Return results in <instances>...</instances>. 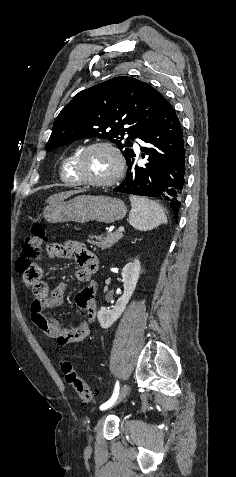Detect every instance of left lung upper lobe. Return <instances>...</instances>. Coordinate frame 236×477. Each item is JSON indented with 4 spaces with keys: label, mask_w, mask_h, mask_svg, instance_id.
Masks as SVG:
<instances>
[{
    "label": "left lung upper lobe",
    "mask_w": 236,
    "mask_h": 477,
    "mask_svg": "<svg viewBox=\"0 0 236 477\" xmlns=\"http://www.w3.org/2000/svg\"><path fill=\"white\" fill-rule=\"evenodd\" d=\"M161 100L149 84L128 76L85 89L59 113L46 150L99 137L115 143L127 161L134 153V138L142 139L159 113Z\"/></svg>",
    "instance_id": "left-lung-upper-lobe-1"
}]
</instances>
